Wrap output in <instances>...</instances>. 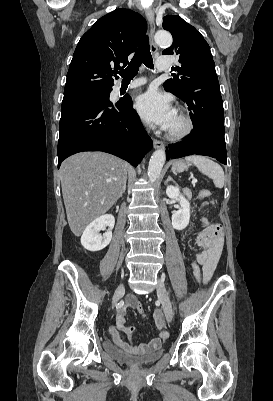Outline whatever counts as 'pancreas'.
Wrapping results in <instances>:
<instances>
[{"instance_id": "obj_1", "label": "pancreas", "mask_w": 273, "mask_h": 401, "mask_svg": "<svg viewBox=\"0 0 273 401\" xmlns=\"http://www.w3.org/2000/svg\"><path fill=\"white\" fill-rule=\"evenodd\" d=\"M185 194H187L188 198H191V196H192V192H191V190H189V188H186Z\"/></svg>"}]
</instances>
